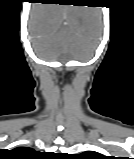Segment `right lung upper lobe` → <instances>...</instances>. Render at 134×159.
I'll return each instance as SVG.
<instances>
[{
  "instance_id": "cb5924a9",
  "label": "right lung upper lobe",
  "mask_w": 134,
  "mask_h": 159,
  "mask_svg": "<svg viewBox=\"0 0 134 159\" xmlns=\"http://www.w3.org/2000/svg\"><path fill=\"white\" fill-rule=\"evenodd\" d=\"M18 150L23 152H33V150L30 148H18Z\"/></svg>"
}]
</instances>
